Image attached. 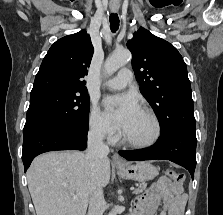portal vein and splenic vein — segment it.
Segmentation results:
<instances>
[{
    "label": "portal vein and splenic vein",
    "mask_w": 223,
    "mask_h": 215,
    "mask_svg": "<svg viewBox=\"0 0 223 215\" xmlns=\"http://www.w3.org/2000/svg\"><path fill=\"white\" fill-rule=\"evenodd\" d=\"M136 187L132 185L130 188H128V191H134ZM77 195H72V199H76Z\"/></svg>",
    "instance_id": "portal-vein-and-splenic-vein-1"
}]
</instances>
